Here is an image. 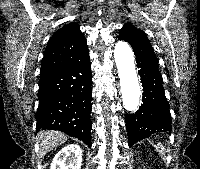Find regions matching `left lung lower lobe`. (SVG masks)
I'll list each match as a JSON object with an SVG mask.
<instances>
[{
    "label": "left lung lower lobe",
    "instance_id": "1",
    "mask_svg": "<svg viewBox=\"0 0 200 169\" xmlns=\"http://www.w3.org/2000/svg\"><path fill=\"white\" fill-rule=\"evenodd\" d=\"M136 62L144 92L140 109L125 117L129 146L154 133L172 130L170 106L158 64L141 57H136Z\"/></svg>",
    "mask_w": 200,
    "mask_h": 169
}]
</instances>
